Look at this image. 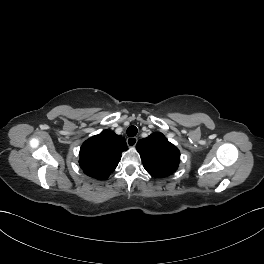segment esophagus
<instances>
[{
  "instance_id": "34e87169",
  "label": "esophagus",
  "mask_w": 264,
  "mask_h": 264,
  "mask_svg": "<svg viewBox=\"0 0 264 264\" xmlns=\"http://www.w3.org/2000/svg\"><path fill=\"white\" fill-rule=\"evenodd\" d=\"M138 138L137 137H129L127 138V144L130 147H134L137 144Z\"/></svg>"
}]
</instances>
